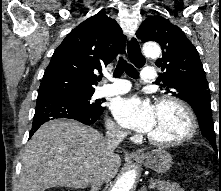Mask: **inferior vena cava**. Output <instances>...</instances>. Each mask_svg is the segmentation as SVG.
<instances>
[{
	"instance_id": "1",
	"label": "inferior vena cava",
	"mask_w": 221,
	"mask_h": 191,
	"mask_svg": "<svg viewBox=\"0 0 221 191\" xmlns=\"http://www.w3.org/2000/svg\"><path fill=\"white\" fill-rule=\"evenodd\" d=\"M123 139V132L118 127H114L106 133V143L109 150L115 149ZM105 182L104 175H97L91 181V191H98L100 186Z\"/></svg>"
}]
</instances>
